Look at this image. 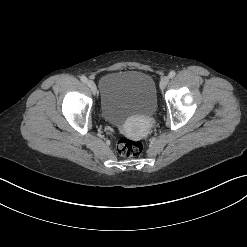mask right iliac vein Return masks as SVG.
<instances>
[{
	"instance_id": "right-iliac-vein-1",
	"label": "right iliac vein",
	"mask_w": 247,
	"mask_h": 247,
	"mask_svg": "<svg viewBox=\"0 0 247 247\" xmlns=\"http://www.w3.org/2000/svg\"><path fill=\"white\" fill-rule=\"evenodd\" d=\"M87 85L89 86L91 91L95 94L96 93V85H95L94 81L88 80Z\"/></svg>"
}]
</instances>
